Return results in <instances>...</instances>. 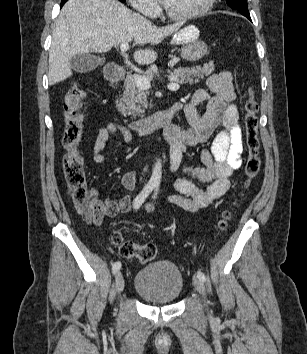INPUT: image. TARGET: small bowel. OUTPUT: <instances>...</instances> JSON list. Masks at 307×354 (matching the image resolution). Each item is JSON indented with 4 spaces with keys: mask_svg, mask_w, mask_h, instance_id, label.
I'll list each match as a JSON object with an SVG mask.
<instances>
[{
    "mask_svg": "<svg viewBox=\"0 0 307 354\" xmlns=\"http://www.w3.org/2000/svg\"><path fill=\"white\" fill-rule=\"evenodd\" d=\"M208 89L196 90L184 105H176L175 114L182 112L186 118L185 127L170 125L166 129V138L171 145L169 160L170 171L182 167L187 178H177L173 188L177 192L169 196V202L189 211L197 212L223 196L230 187L229 178L242 165V131L238 122V110L233 103L236 92L233 77L229 71L212 74L207 79ZM206 104V111L199 115L196 107ZM120 132L126 141L132 140L130 130L118 123L110 122L101 127L95 136L89 137L93 143V161H105L104 149L111 136ZM211 140L209 149L201 152L202 166L184 162V154L190 147L206 144ZM136 174L129 171L122 176L124 190L135 189ZM199 184L206 185L201 188ZM97 197L98 192L91 190ZM109 208L107 216L129 211L131 200L128 194L119 199L104 202ZM148 211L153 207L146 205Z\"/></svg>",
    "mask_w": 307,
    "mask_h": 354,
    "instance_id": "1",
    "label": "small bowel"
}]
</instances>
